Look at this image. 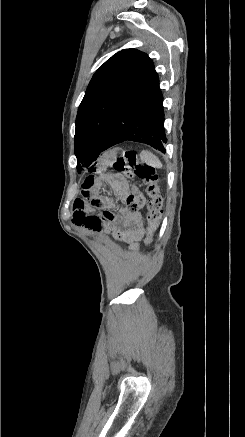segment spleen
Instances as JSON below:
<instances>
[{
  "mask_svg": "<svg viewBox=\"0 0 245 437\" xmlns=\"http://www.w3.org/2000/svg\"><path fill=\"white\" fill-rule=\"evenodd\" d=\"M140 158H141V160L146 162L151 167H155V168H161L162 167L161 161L158 159V157L156 155H154L150 151L143 150L140 153Z\"/></svg>",
  "mask_w": 245,
  "mask_h": 437,
  "instance_id": "spleen-1",
  "label": "spleen"
}]
</instances>
